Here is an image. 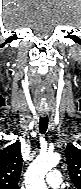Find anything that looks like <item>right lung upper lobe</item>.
Instances as JSON below:
<instances>
[{"label":"right lung upper lobe","instance_id":"1","mask_svg":"<svg viewBox=\"0 0 81 189\" xmlns=\"http://www.w3.org/2000/svg\"><path fill=\"white\" fill-rule=\"evenodd\" d=\"M22 161L19 141L0 151V189H18Z\"/></svg>","mask_w":81,"mask_h":189}]
</instances>
